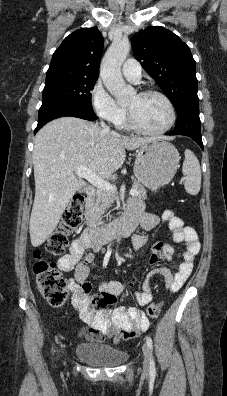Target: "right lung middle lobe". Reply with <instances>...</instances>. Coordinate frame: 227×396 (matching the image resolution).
<instances>
[{"mask_svg": "<svg viewBox=\"0 0 227 396\" xmlns=\"http://www.w3.org/2000/svg\"><path fill=\"white\" fill-rule=\"evenodd\" d=\"M97 78L61 71L47 72L42 106L66 102L94 113L90 91L93 90Z\"/></svg>", "mask_w": 227, "mask_h": 396, "instance_id": "obj_1", "label": "right lung middle lobe"}]
</instances>
